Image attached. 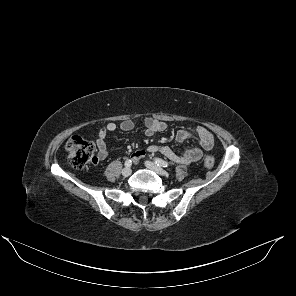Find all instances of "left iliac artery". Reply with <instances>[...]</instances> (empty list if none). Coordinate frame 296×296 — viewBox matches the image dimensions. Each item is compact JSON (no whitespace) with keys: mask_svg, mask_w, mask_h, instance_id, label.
<instances>
[{"mask_svg":"<svg viewBox=\"0 0 296 296\" xmlns=\"http://www.w3.org/2000/svg\"><path fill=\"white\" fill-rule=\"evenodd\" d=\"M154 161L158 166H161V167H168L169 166L168 162H166L160 158H155Z\"/></svg>","mask_w":296,"mask_h":296,"instance_id":"left-iliac-artery-1","label":"left iliac artery"}]
</instances>
